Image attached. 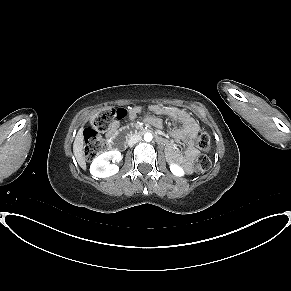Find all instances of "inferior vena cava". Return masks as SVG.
Wrapping results in <instances>:
<instances>
[{"label": "inferior vena cava", "mask_w": 291, "mask_h": 291, "mask_svg": "<svg viewBox=\"0 0 291 291\" xmlns=\"http://www.w3.org/2000/svg\"><path fill=\"white\" fill-rule=\"evenodd\" d=\"M141 136L140 135H132L130 136V139L128 141L129 146H133L134 144H136L137 142H139L141 140Z\"/></svg>", "instance_id": "obj_1"}]
</instances>
